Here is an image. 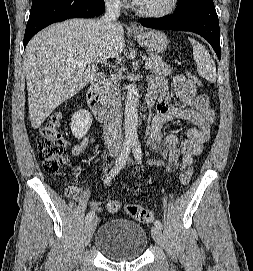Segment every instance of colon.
Segmentation results:
<instances>
[{
  "instance_id": "obj_1",
  "label": "colon",
  "mask_w": 253,
  "mask_h": 271,
  "mask_svg": "<svg viewBox=\"0 0 253 271\" xmlns=\"http://www.w3.org/2000/svg\"><path fill=\"white\" fill-rule=\"evenodd\" d=\"M62 122L63 117L61 114L56 113L52 115L40 130L36 139L37 150L43 169L50 174L59 173L69 162L66 152V141L60 130ZM191 177V169L184 171L180 175L181 184L187 185ZM66 193L69 197H75L77 189L74 186H70L67 188ZM120 207V202L113 200L108 203L107 209L114 214L120 210ZM125 211L130 217L142 223H151L154 219V214L151 210L137 204H128Z\"/></svg>"
}]
</instances>
